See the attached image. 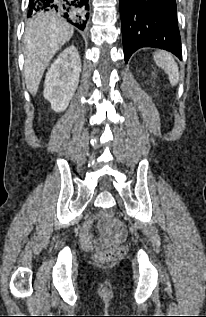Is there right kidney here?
Wrapping results in <instances>:
<instances>
[{"label":"right kidney","mask_w":206,"mask_h":317,"mask_svg":"<svg viewBox=\"0 0 206 317\" xmlns=\"http://www.w3.org/2000/svg\"><path fill=\"white\" fill-rule=\"evenodd\" d=\"M81 59L74 45L64 49L53 62L45 77L44 97L56 112L64 111L77 89Z\"/></svg>","instance_id":"1"}]
</instances>
